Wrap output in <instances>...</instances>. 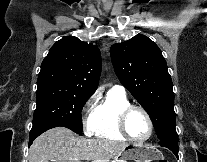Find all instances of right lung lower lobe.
Instances as JSON below:
<instances>
[{
	"mask_svg": "<svg viewBox=\"0 0 207 162\" xmlns=\"http://www.w3.org/2000/svg\"><path fill=\"white\" fill-rule=\"evenodd\" d=\"M54 127L55 126L53 125H41L36 128H32L29 137V146L34 141V139L37 138L40 134Z\"/></svg>",
	"mask_w": 207,
	"mask_h": 162,
	"instance_id": "obj_1",
	"label": "right lung lower lobe"
}]
</instances>
